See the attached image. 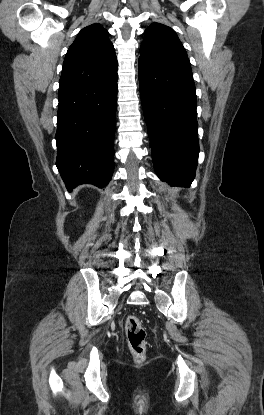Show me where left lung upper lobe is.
Listing matches in <instances>:
<instances>
[{
    "instance_id": "5c2ea615",
    "label": "left lung upper lobe",
    "mask_w": 264,
    "mask_h": 415,
    "mask_svg": "<svg viewBox=\"0 0 264 415\" xmlns=\"http://www.w3.org/2000/svg\"><path fill=\"white\" fill-rule=\"evenodd\" d=\"M144 34L139 59L159 67L192 73L187 53L173 29L152 23Z\"/></svg>"
}]
</instances>
